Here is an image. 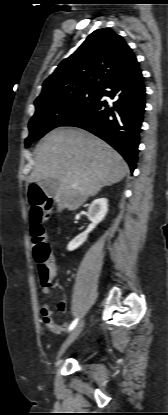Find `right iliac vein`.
Instances as JSON below:
<instances>
[{
	"label": "right iliac vein",
	"instance_id": "right-iliac-vein-1",
	"mask_svg": "<svg viewBox=\"0 0 168 415\" xmlns=\"http://www.w3.org/2000/svg\"><path fill=\"white\" fill-rule=\"evenodd\" d=\"M84 326V321H81L78 325L75 326V328L71 331L69 336L66 338L64 343L62 344L57 359H59L62 354L66 351V349L77 339L79 334L81 333Z\"/></svg>",
	"mask_w": 168,
	"mask_h": 415
}]
</instances>
